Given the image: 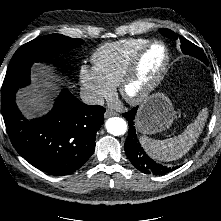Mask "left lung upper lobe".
I'll return each instance as SVG.
<instances>
[{
	"instance_id": "left-lung-upper-lobe-1",
	"label": "left lung upper lobe",
	"mask_w": 221,
	"mask_h": 221,
	"mask_svg": "<svg viewBox=\"0 0 221 221\" xmlns=\"http://www.w3.org/2000/svg\"><path fill=\"white\" fill-rule=\"evenodd\" d=\"M159 32L167 38L180 42L181 50L184 54L194 56L200 59L201 61H203L205 64H207L206 57L203 51L198 46H196L195 44L188 41L182 36H177L173 31L169 29H166V28L159 29Z\"/></svg>"
}]
</instances>
